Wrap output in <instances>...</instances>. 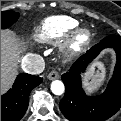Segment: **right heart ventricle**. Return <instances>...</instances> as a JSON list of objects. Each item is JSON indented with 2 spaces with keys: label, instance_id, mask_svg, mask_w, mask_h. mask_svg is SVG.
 Wrapping results in <instances>:
<instances>
[{
  "label": "right heart ventricle",
  "instance_id": "e07e8e85",
  "mask_svg": "<svg viewBox=\"0 0 121 121\" xmlns=\"http://www.w3.org/2000/svg\"><path fill=\"white\" fill-rule=\"evenodd\" d=\"M77 26V22L65 16H51L42 21L36 30L38 41L52 43L63 39Z\"/></svg>",
  "mask_w": 121,
  "mask_h": 121
}]
</instances>
